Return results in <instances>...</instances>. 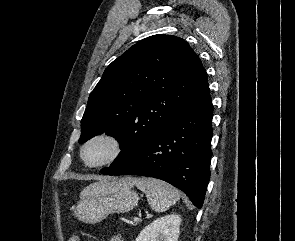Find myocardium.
<instances>
[{
  "label": "myocardium",
  "instance_id": "myocardium-1",
  "mask_svg": "<svg viewBox=\"0 0 295 241\" xmlns=\"http://www.w3.org/2000/svg\"><path fill=\"white\" fill-rule=\"evenodd\" d=\"M105 140L112 145L111 154L104 160L97 163H89L85 159L86 149L95 141ZM125 146L123 140L117 134L110 131H102L90 136L80 147L79 158L83 165L87 168H100L111 165L118 161L124 154Z\"/></svg>",
  "mask_w": 295,
  "mask_h": 241
}]
</instances>
